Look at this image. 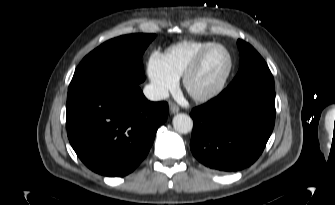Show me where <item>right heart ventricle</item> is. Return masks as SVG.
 Masks as SVG:
<instances>
[{
    "instance_id": "obj_1",
    "label": "right heart ventricle",
    "mask_w": 335,
    "mask_h": 205,
    "mask_svg": "<svg viewBox=\"0 0 335 205\" xmlns=\"http://www.w3.org/2000/svg\"><path fill=\"white\" fill-rule=\"evenodd\" d=\"M211 41L184 40L168 47L163 54L165 64L177 78L182 76L197 55L211 46Z\"/></svg>"
}]
</instances>
